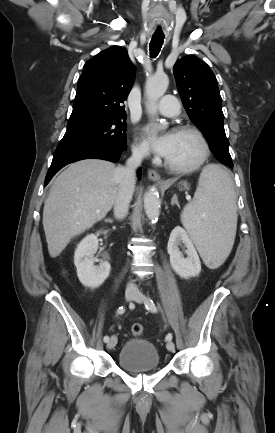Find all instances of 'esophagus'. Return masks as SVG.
Returning <instances> with one entry per match:
<instances>
[{
  "label": "esophagus",
  "instance_id": "obj_1",
  "mask_svg": "<svg viewBox=\"0 0 275 433\" xmlns=\"http://www.w3.org/2000/svg\"><path fill=\"white\" fill-rule=\"evenodd\" d=\"M148 178L150 180L158 183V184H163L164 183V181L161 179L160 174L156 170H153V169H149L148 170Z\"/></svg>",
  "mask_w": 275,
  "mask_h": 433
}]
</instances>
